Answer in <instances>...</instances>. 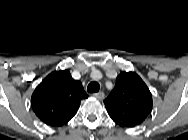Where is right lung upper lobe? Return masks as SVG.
I'll use <instances>...</instances> for the list:
<instances>
[{
	"instance_id": "obj_1",
	"label": "right lung upper lobe",
	"mask_w": 188,
	"mask_h": 140,
	"mask_svg": "<svg viewBox=\"0 0 188 140\" xmlns=\"http://www.w3.org/2000/svg\"><path fill=\"white\" fill-rule=\"evenodd\" d=\"M87 97L81 82L74 80L68 70L55 71L37 86L31 105L42 122L61 126L75 116L81 100Z\"/></svg>"
}]
</instances>
